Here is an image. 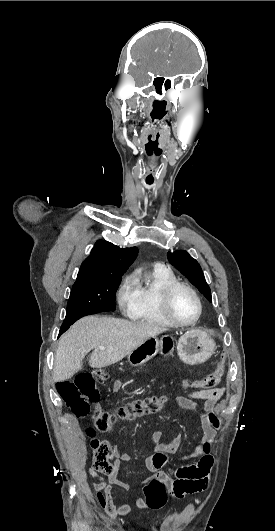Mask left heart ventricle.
<instances>
[{
	"label": "left heart ventricle",
	"instance_id": "b2bd125f",
	"mask_svg": "<svg viewBox=\"0 0 275 531\" xmlns=\"http://www.w3.org/2000/svg\"><path fill=\"white\" fill-rule=\"evenodd\" d=\"M170 308L175 318L182 322L193 320L198 312L194 297L185 289H177L170 301Z\"/></svg>",
	"mask_w": 275,
	"mask_h": 531
}]
</instances>
